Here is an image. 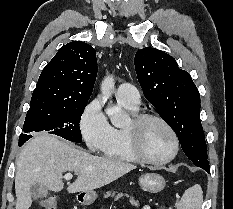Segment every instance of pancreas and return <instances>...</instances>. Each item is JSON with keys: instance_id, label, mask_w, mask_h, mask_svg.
<instances>
[{"instance_id": "pancreas-1", "label": "pancreas", "mask_w": 233, "mask_h": 209, "mask_svg": "<svg viewBox=\"0 0 233 209\" xmlns=\"http://www.w3.org/2000/svg\"><path fill=\"white\" fill-rule=\"evenodd\" d=\"M123 196H127L129 197L127 194H123V193H118L116 194V192H107L105 195H104V198H108V197H114L115 200H118L119 198L123 197ZM130 203L134 206H138L139 205V202L138 201H135L133 197H130Z\"/></svg>"}]
</instances>
